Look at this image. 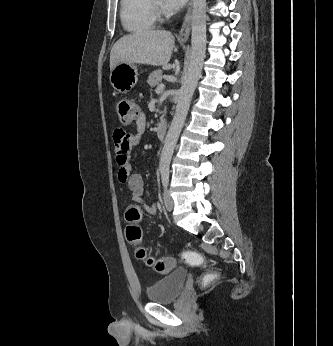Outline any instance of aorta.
Instances as JSON below:
<instances>
[{
	"mask_svg": "<svg viewBox=\"0 0 333 346\" xmlns=\"http://www.w3.org/2000/svg\"><path fill=\"white\" fill-rule=\"evenodd\" d=\"M191 45L190 64L179 91L175 115L164 141L160 169L169 168L193 93L201 76L206 52V0H193Z\"/></svg>",
	"mask_w": 333,
	"mask_h": 346,
	"instance_id": "762f6f07",
	"label": "aorta"
}]
</instances>
